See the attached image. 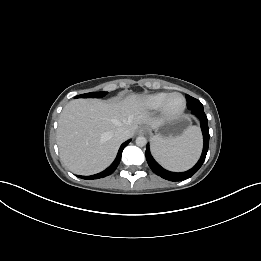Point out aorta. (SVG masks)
<instances>
[{"instance_id":"762f6f07","label":"aorta","mask_w":261,"mask_h":261,"mask_svg":"<svg viewBox=\"0 0 261 261\" xmlns=\"http://www.w3.org/2000/svg\"><path fill=\"white\" fill-rule=\"evenodd\" d=\"M147 144V140L144 136H139L136 138V145L139 147H143Z\"/></svg>"}]
</instances>
